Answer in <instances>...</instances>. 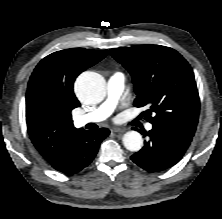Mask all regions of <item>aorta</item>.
<instances>
[{
  "instance_id": "obj_1",
  "label": "aorta",
  "mask_w": 222,
  "mask_h": 219,
  "mask_svg": "<svg viewBox=\"0 0 222 219\" xmlns=\"http://www.w3.org/2000/svg\"><path fill=\"white\" fill-rule=\"evenodd\" d=\"M75 89L80 99L88 104L99 103L105 97V81L95 72L82 73L77 78ZM122 141L129 151H139L143 146V138L137 131L126 132Z\"/></svg>"
}]
</instances>
